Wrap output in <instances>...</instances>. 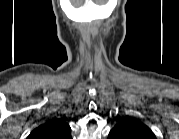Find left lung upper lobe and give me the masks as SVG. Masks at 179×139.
Instances as JSON below:
<instances>
[{
    "label": "left lung upper lobe",
    "instance_id": "1",
    "mask_svg": "<svg viewBox=\"0 0 179 139\" xmlns=\"http://www.w3.org/2000/svg\"><path fill=\"white\" fill-rule=\"evenodd\" d=\"M155 139L153 132L145 124L125 119L118 123L109 134V138Z\"/></svg>",
    "mask_w": 179,
    "mask_h": 139
}]
</instances>
